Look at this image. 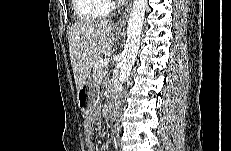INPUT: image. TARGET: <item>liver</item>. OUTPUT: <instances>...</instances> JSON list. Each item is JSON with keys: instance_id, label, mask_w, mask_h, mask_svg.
<instances>
[{"instance_id": "1", "label": "liver", "mask_w": 231, "mask_h": 151, "mask_svg": "<svg viewBox=\"0 0 231 151\" xmlns=\"http://www.w3.org/2000/svg\"><path fill=\"white\" fill-rule=\"evenodd\" d=\"M114 23L109 20H92L75 23L68 29L71 66L78 90L89 77L100 57L114 43Z\"/></svg>"}]
</instances>
